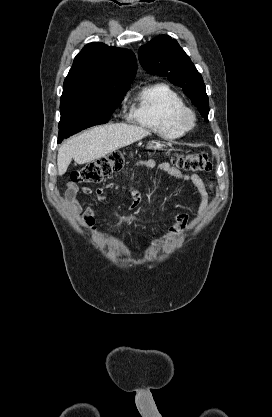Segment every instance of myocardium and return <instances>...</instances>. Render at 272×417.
<instances>
[{
    "instance_id": "obj_1",
    "label": "myocardium",
    "mask_w": 272,
    "mask_h": 417,
    "mask_svg": "<svg viewBox=\"0 0 272 417\" xmlns=\"http://www.w3.org/2000/svg\"><path fill=\"white\" fill-rule=\"evenodd\" d=\"M177 123L184 130L192 129L196 124V115L193 110L185 107L177 114Z\"/></svg>"
}]
</instances>
